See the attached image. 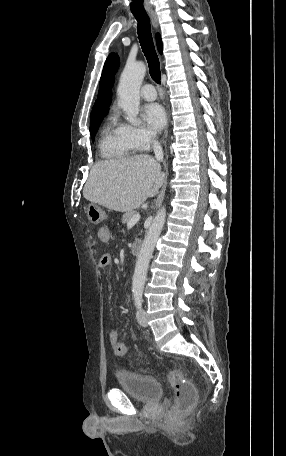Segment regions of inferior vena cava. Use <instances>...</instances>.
<instances>
[{
  "label": "inferior vena cava",
  "instance_id": "inferior-vena-cava-1",
  "mask_svg": "<svg viewBox=\"0 0 286 456\" xmlns=\"http://www.w3.org/2000/svg\"><path fill=\"white\" fill-rule=\"evenodd\" d=\"M153 150L158 161L163 159V150L160 143L153 137Z\"/></svg>",
  "mask_w": 286,
  "mask_h": 456
}]
</instances>
